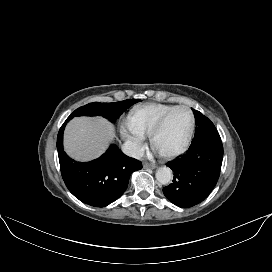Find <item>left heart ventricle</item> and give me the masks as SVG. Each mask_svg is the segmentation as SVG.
Here are the masks:
<instances>
[{
    "label": "left heart ventricle",
    "mask_w": 272,
    "mask_h": 272,
    "mask_svg": "<svg viewBox=\"0 0 272 272\" xmlns=\"http://www.w3.org/2000/svg\"><path fill=\"white\" fill-rule=\"evenodd\" d=\"M189 128V113L184 109L173 112L167 119L163 129L155 137L153 148L158 153L175 150L185 141Z\"/></svg>",
    "instance_id": "left-heart-ventricle-1"
}]
</instances>
